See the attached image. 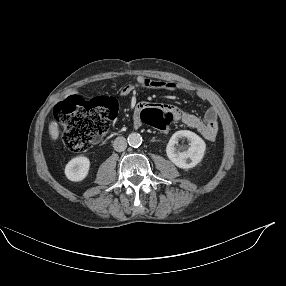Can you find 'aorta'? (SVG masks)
<instances>
[{
	"mask_svg": "<svg viewBox=\"0 0 286 286\" xmlns=\"http://www.w3.org/2000/svg\"><path fill=\"white\" fill-rule=\"evenodd\" d=\"M142 143V136L139 133H131L128 136V144L132 147H139Z\"/></svg>",
	"mask_w": 286,
	"mask_h": 286,
	"instance_id": "1",
	"label": "aorta"
}]
</instances>
